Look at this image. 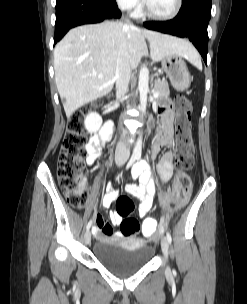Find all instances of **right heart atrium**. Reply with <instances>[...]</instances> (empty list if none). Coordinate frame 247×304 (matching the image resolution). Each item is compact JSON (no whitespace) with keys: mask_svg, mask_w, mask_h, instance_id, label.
I'll use <instances>...</instances> for the list:
<instances>
[{"mask_svg":"<svg viewBox=\"0 0 247 304\" xmlns=\"http://www.w3.org/2000/svg\"><path fill=\"white\" fill-rule=\"evenodd\" d=\"M117 5L123 10H135L140 7L141 0H115Z\"/></svg>","mask_w":247,"mask_h":304,"instance_id":"obj_1","label":"right heart atrium"}]
</instances>
